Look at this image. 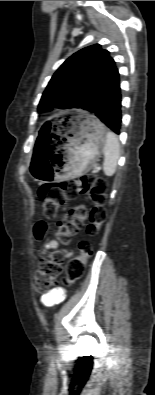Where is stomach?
Here are the masks:
<instances>
[{"label": "stomach", "mask_w": 155, "mask_h": 395, "mask_svg": "<svg viewBox=\"0 0 155 395\" xmlns=\"http://www.w3.org/2000/svg\"><path fill=\"white\" fill-rule=\"evenodd\" d=\"M62 145L54 156L35 153L30 174L36 181L70 179L83 174L100 156L106 141L104 125L85 110H76L68 121Z\"/></svg>", "instance_id": "1"}]
</instances>
